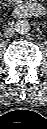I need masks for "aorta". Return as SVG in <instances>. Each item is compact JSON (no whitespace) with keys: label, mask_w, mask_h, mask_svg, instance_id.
<instances>
[{"label":"aorta","mask_w":47,"mask_h":129,"mask_svg":"<svg viewBox=\"0 0 47 129\" xmlns=\"http://www.w3.org/2000/svg\"><path fill=\"white\" fill-rule=\"evenodd\" d=\"M31 29L30 23L27 20H19L15 25V31L18 34H27Z\"/></svg>","instance_id":"1"}]
</instances>
